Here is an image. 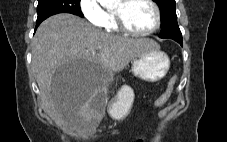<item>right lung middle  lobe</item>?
<instances>
[{
	"label": "right lung middle lobe",
	"instance_id": "1",
	"mask_svg": "<svg viewBox=\"0 0 227 142\" xmlns=\"http://www.w3.org/2000/svg\"><path fill=\"white\" fill-rule=\"evenodd\" d=\"M58 13H71L83 17L80 0H38L37 21H43Z\"/></svg>",
	"mask_w": 227,
	"mask_h": 142
}]
</instances>
